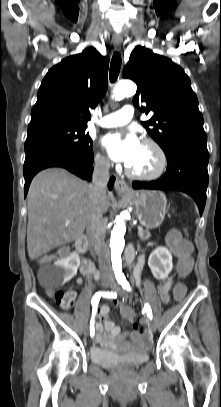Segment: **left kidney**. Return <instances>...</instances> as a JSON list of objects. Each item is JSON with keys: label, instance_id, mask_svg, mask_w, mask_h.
I'll return each instance as SVG.
<instances>
[{"label": "left kidney", "instance_id": "1", "mask_svg": "<svg viewBox=\"0 0 221 407\" xmlns=\"http://www.w3.org/2000/svg\"><path fill=\"white\" fill-rule=\"evenodd\" d=\"M148 265L157 280H165L172 271V255L165 247L156 248L149 256Z\"/></svg>", "mask_w": 221, "mask_h": 407}]
</instances>
